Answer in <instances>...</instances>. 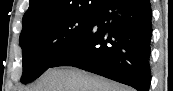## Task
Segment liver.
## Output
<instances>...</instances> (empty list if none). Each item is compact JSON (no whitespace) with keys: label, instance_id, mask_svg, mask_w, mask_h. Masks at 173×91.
I'll return each instance as SVG.
<instances>
[{"label":"liver","instance_id":"obj_1","mask_svg":"<svg viewBox=\"0 0 173 91\" xmlns=\"http://www.w3.org/2000/svg\"><path fill=\"white\" fill-rule=\"evenodd\" d=\"M25 91H133L102 76L75 67L49 68Z\"/></svg>","mask_w":173,"mask_h":91}]
</instances>
